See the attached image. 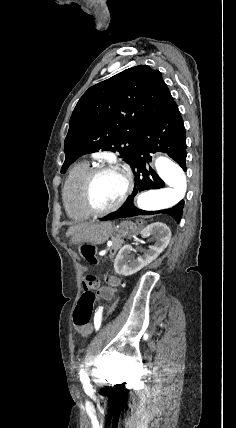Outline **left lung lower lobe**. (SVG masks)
<instances>
[{
  "instance_id": "obj_1",
  "label": "left lung lower lobe",
  "mask_w": 236,
  "mask_h": 428,
  "mask_svg": "<svg viewBox=\"0 0 236 428\" xmlns=\"http://www.w3.org/2000/svg\"><path fill=\"white\" fill-rule=\"evenodd\" d=\"M137 144L139 149L135 154L134 163L131 165L132 169L135 170L134 174L136 176L132 195L119 210L100 220L162 213L172 216L179 222L183 213V200L172 208L159 211H144L136 208L133 204V199L138 192L163 188L165 185L157 173L148 167L147 163L151 161L149 153L165 152L186 171L185 129L178 106L174 101L162 114L146 124L139 135Z\"/></svg>"
}]
</instances>
